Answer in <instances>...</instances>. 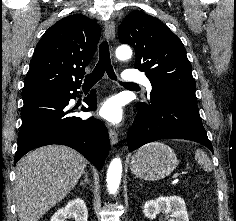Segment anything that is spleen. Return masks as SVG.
Returning <instances> with one entry per match:
<instances>
[{"label": "spleen", "instance_id": "3e777b00", "mask_svg": "<svg viewBox=\"0 0 236 221\" xmlns=\"http://www.w3.org/2000/svg\"><path fill=\"white\" fill-rule=\"evenodd\" d=\"M195 158L199 164H201L205 171L210 172L212 170V164L207 155L200 149L196 150Z\"/></svg>", "mask_w": 236, "mask_h": 221}]
</instances>
